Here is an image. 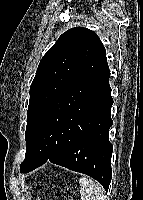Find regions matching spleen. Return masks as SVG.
<instances>
[{"mask_svg":"<svg viewBox=\"0 0 143 200\" xmlns=\"http://www.w3.org/2000/svg\"><path fill=\"white\" fill-rule=\"evenodd\" d=\"M79 184L81 200H105L104 190L97 181L82 177Z\"/></svg>","mask_w":143,"mask_h":200,"instance_id":"obj_1","label":"spleen"}]
</instances>
